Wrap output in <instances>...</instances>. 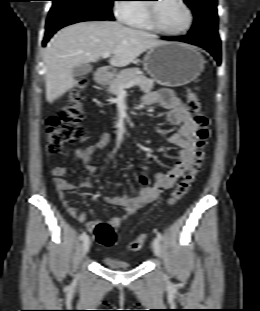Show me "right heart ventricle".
<instances>
[{
    "mask_svg": "<svg viewBox=\"0 0 260 311\" xmlns=\"http://www.w3.org/2000/svg\"><path fill=\"white\" fill-rule=\"evenodd\" d=\"M133 7V12L131 13L127 23L136 28L153 30L147 21L145 4H134Z\"/></svg>",
    "mask_w": 260,
    "mask_h": 311,
    "instance_id": "obj_1",
    "label": "right heart ventricle"
}]
</instances>
